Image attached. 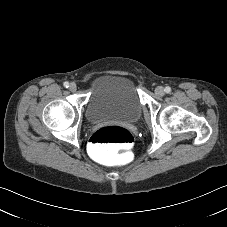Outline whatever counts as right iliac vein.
Returning <instances> with one entry per match:
<instances>
[{
  "label": "right iliac vein",
  "mask_w": 227,
  "mask_h": 227,
  "mask_svg": "<svg viewBox=\"0 0 227 227\" xmlns=\"http://www.w3.org/2000/svg\"><path fill=\"white\" fill-rule=\"evenodd\" d=\"M69 90H70L71 92H75V91L77 90V85H76L75 83H71V84L69 85Z\"/></svg>",
  "instance_id": "1"
}]
</instances>
